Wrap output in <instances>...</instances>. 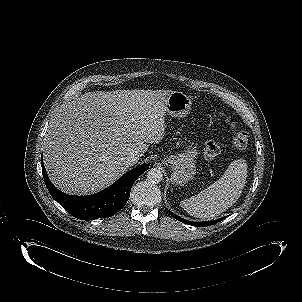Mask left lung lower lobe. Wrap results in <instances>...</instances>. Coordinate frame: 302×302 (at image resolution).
<instances>
[{"instance_id": "left-lung-lower-lobe-1", "label": "left lung lower lobe", "mask_w": 302, "mask_h": 302, "mask_svg": "<svg viewBox=\"0 0 302 302\" xmlns=\"http://www.w3.org/2000/svg\"><path fill=\"white\" fill-rule=\"evenodd\" d=\"M171 215L175 219H177V220H179V221H181L183 223H186V224H189V225H193V226H199V227H205V226L213 225V224H215V223H217V222H219V221H221L223 219V218H221V219H218V220L206 221V222H191V221L184 220V219H182V218H180V217H178V216H176V215H174L172 213H171Z\"/></svg>"}]
</instances>
